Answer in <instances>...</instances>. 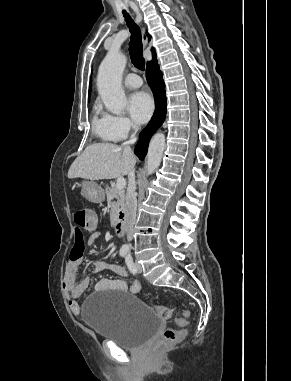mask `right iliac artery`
<instances>
[{
	"instance_id": "right-iliac-artery-1",
	"label": "right iliac artery",
	"mask_w": 291,
	"mask_h": 381,
	"mask_svg": "<svg viewBox=\"0 0 291 381\" xmlns=\"http://www.w3.org/2000/svg\"><path fill=\"white\" fill-rule=\"evenodd\" d=\"M126 254H127V250L126 249H121L120 250V256L124 257Z\"/></svg>"
}]
</instances>
